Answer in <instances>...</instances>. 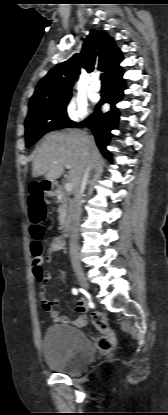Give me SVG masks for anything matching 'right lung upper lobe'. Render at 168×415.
Wrapping results in <instances>:
<instances>
[{"label":"right lung upper lobe","instance_id":"1","mask_svg":"<svg viewBox=\"0 0 168 415\" xmlns=\"http://www.w3.org/2000/svg\"><path fill=\"white\" fill-rule=\"evenodd\" d=\"M122 60L121 51L106 32L91 30L80 54L56 65L40 80L29 102V110L70 96L81 66L87 72L102 69L109 78L122 70Z\"/></svg>","mask_w":168,"mask_h":415}]
</instances>
